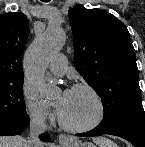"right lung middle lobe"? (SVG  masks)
Returning a JSON list of instances; mask_svg holds the SVG:
<instances>
[{"label":"right lung middle lobe","instance_id":"obj_1","mask_svg":"<svg viewBox=\"0 0 145 147\" xmlns=\"http://www.w3.org/2000/svg\"><path fill=\"white\" fill-rule=\"evenodd\" d=\"M24 77L0 83V126L15 124L27 117L23 98Z\"/></svg>","mask_w":145,"mask_h":147}]
</instances>
